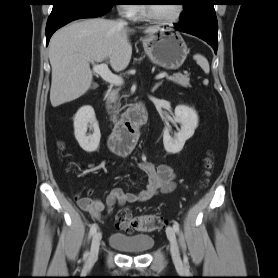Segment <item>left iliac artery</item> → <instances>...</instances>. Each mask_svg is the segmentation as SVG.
<instances>
[{
  "mask_svg": "<svg viewBox=\"0 0 278 278\" xmlns=\"http://www.w3.org/2000/svg\"><path fill=\"white\" fill-rule=\"evenodd\" d=\"M173 229L175 232H179V224L177 222L173 223Z\"/></svg>",
  "mask_w": 278,
  "mask_h": 278,
  "instance_id": "obj_1",
  "label": "left iliac artery"
}]
</instances>
